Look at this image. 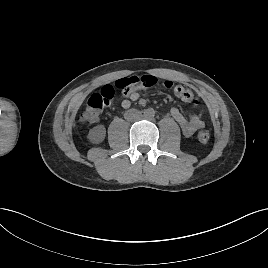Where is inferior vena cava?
Returning a JSON list of instances; mask_svg holds the SVG:
<instances>
[{
    "label": "inferior vena cava",
    "mask_w": 268,
    "mask_h": 268,
    "mask_svg": "<svg viewBox=\"0 0 268 268\" xmlns=\"http://www.w3.org/2000/svg\"><path fill=\"white\" fill-rule=\"evenodd\" d=\"M124 118L128 121H135L141 118V113L136 109H129L124 113Z\"/></svg>",
    "instance_id": "obj_1"
}]
</instances>
